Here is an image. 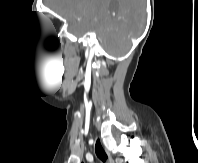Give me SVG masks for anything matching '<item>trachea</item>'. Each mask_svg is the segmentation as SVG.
I'll list each match as a JSON object with an SVG mask.
<instances>
[{
	"instance_id": "1",
	"label": "trachea",
	"mask_w": 198,
	"mask_h": 163,
	"mask_svg": "<svg viewBox=\"0 0 198 163\" xmlns=\"http://www.w3.org/2000/svg\"><path fill=\"white\" fill-rule=\"evenodd\" d=\"M95 153H96L97 157H98L101 161H103V163L106 162V160H107V155H106V152H105V150L103 149V147H102V145H101L99 139L96 141Z\"/></svg>"
}]
</instances>
